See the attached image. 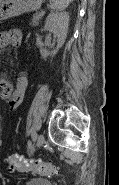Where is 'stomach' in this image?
<instances>
[{
  "instance_id": "obj_1",
  "label": "stomach",
  "mask_w": 119,
  "mask_h": 185,
  "mask_svg": "<svg viewBox=\"0 0 119 185\" xmlns=\"http://www.w3.org/2000/svg\"><path fill=\"white\" fill-rule=\"evenodd\" d=\"M44 0H0V20L36 11Z\"/></svg>"
}]
</instances>
